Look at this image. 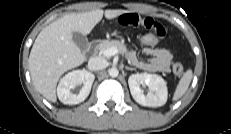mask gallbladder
<instances>
[{"instance_id":"gallbladder-1","label":"gallbladder","mask_w":231,"mask_h":134,"mask_svg":"<svg viewBox=\"0 0 231 134\" xmlns=\"http://www.w3.org/2000/svg\"><path fill=\"white\" fill-rule=\"evenodd\" d=\"M73 41L80 50L85 51L89 47V42L86 36L79 32H73Z\"/></svg>"}]
</instances>
